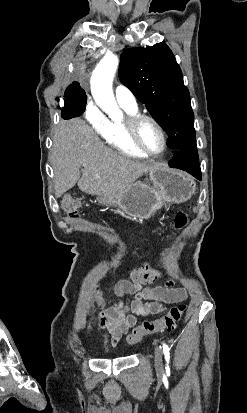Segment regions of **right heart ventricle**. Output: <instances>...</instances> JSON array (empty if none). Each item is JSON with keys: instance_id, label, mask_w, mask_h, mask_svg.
<instances>
[{"instance_id": "obj_1", "label": "right heart ventricle", "mask_w": 247, "mask_h": 413, "mask_svg": "<svg viewBox=\"0 0 247 413\" xmlns=\"http://www.w3.org/2000/svg\"><path fill=\"white\" fill-rule=\"evenodd\" d=\"M130 112L133 108L124 106ZM131 117L125 121H117L110 123L107 126V132L104 133L106 137V143L112 145L115 151H120V155L135 158V159H146L147 156L139 151L132 143L129 136V121Z\"/></svg>"}]
</instances>
